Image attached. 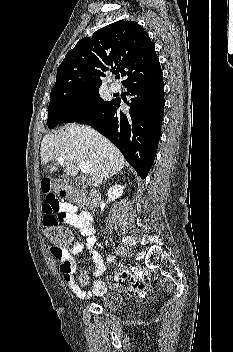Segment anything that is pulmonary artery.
Masks as SVG:
<instances>
[{
    "mask_svg": "<svg viewBox=\"0 0 233 352\" xmlns=\"http://www.w3.org/2000/svg\"><path fill=\"white\" fill-rule=\"evenodd\" d=\"M110 88H111L112 91L117 92V91L120 90V85L118 83H116V82H112L110 84Z\"/></svg>",
    "mask_w": 233,
    "mask_h": 352,
    "instance_id": "pulmonary-artery-1",
    "label": "pulmonary artery"
}]
</instances>
